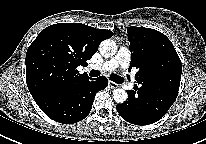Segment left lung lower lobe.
<instances>
[{"mask_svg":"<svg viewBox=\"0 0 206 144\" xmlns=\"http://www.w3.org/2000/svg\"><path fill=\"white\" fill-rule=\"evenodd\" d=\"M176 91L163 90L147 93L142 85L137 92L128 91V98L116 109L120 116L135 125H149L161 119L169 110L177 97Z\"/></svg>","mask_w":206,"mask_h":144,"instance_id":"0a47b994","label":"left lung lower lobe"}]
</instances>
